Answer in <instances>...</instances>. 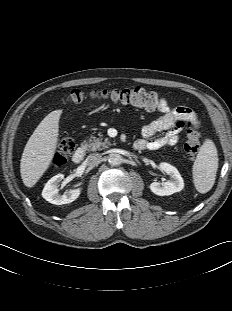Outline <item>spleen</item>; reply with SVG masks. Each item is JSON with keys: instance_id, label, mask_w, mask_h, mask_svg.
<instances>
[{"instance_id": "3e777b00", "label": "spleen", "mask_w": 232, "mask_h": 311, "mask_svg": "<svg viewBox=\"0 0 232 311\" xmlns=\"http://www.w3.org/2000/svg\"><path fill=\"white\" fill-rule=\"evenodd\" d=\"M218 169V154L214 142L206 139L200 147L193 164V182L200 193L211 190L216 179Z\"/></svg>"}]
</instances>
